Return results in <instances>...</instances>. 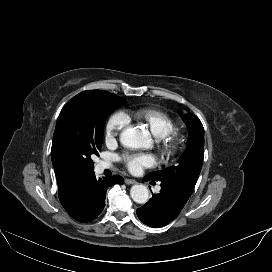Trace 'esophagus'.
<instances>
[{
  "instance_id": "obj_1",
  "label": "esophagus",
  "mask_w": 272,
  "mask_h": 272,
  "mask_svg": "<svg viewBox=\"0 0 272 272\" xmlns=\"http://www.w3.org/2000/svg\"><path fill=\"white\" fill-rule=\"evenodd\" d=\"M134 183H136V181L133 180V179H128V178L125 179V184H127V185H131V184H134Z\"/></svg>"
}]
</instances>
